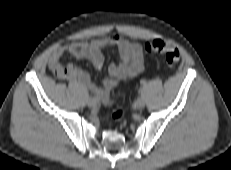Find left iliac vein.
I'll return each mask as SVG.
<instances>
[{
    "label": "left iliac vein",
    "mask_w": 231,
    "mask_h": 170,
    "mask_svg": "<svg viewBox=\"0 0 231 170\" xmlns=\"http://www.w3.org/2000/svg\"><path fill=\"white\" fill-rule=\"evenodd\" d=\"M144 106H145V102H144V100H143L142 98H139V99L135 102V107H136L137 109H142V108H144Z\"/></svg>",
    "instance_id": "obj_1"
}]
</instances>
